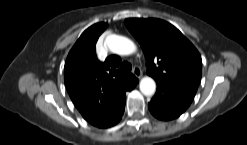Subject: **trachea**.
Wrapping results in <instances>:
<instances>
[{
  "label": "trachea",
  "mask_w": 247,
  "mask_h": 145,
  "mask_svg": "<svg viewBox=\"0 0 247 145\" xmlns=\"http://www.w3.org/2000/svg\"><path fill=\"white\" fill-rule=\"evenodd\" d=\"M131 69H132L131 64L126 61H124L120 66L121 72H130Z\"/></svg>",
  "instance_id": "1"
}]
</instances>
